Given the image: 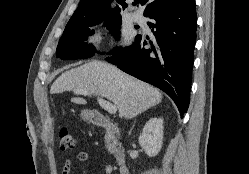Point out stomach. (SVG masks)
I'll return each mask as SVG.
<instances>
[{
	"label": "stomach",
	"mask_w": 249,
	"mask_h": 174,
	"mask_svg": "<svg viewBox=\"0 0 249 174\" xmlns=\"http://www.w3.org/2000/svg\"><path fill=\"white\" fill-rule=\"evenodd\" d=\"M81 117L84 120H91L92 113L90 111L84 110V111L81 112Z\"/></svg>",
	"instance_id": "0dacf381"
}]
</instances>
